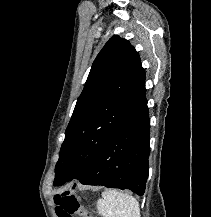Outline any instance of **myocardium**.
Segmentation results:
<instances>
[{"label": "myocardium", "instance_id": "f54148a6", "mask_svg": "<svg viewBox=\"0 0 211 217\" xmlns=\"http://www.w3.org/2000/svg\"><path fill=\"white\" fill-rule=\"evenodd\" d=\"M84 155V152L82 150H79L76 154H75V158L80 159L82 158Z\"/></svg>", "mask_w": 211, "mask_h": 217}]
</instances>
